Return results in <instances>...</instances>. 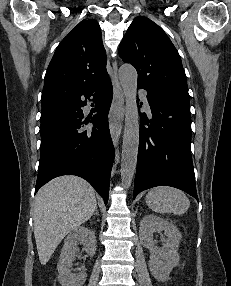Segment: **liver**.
Here are the masks:
<instances>
[{
    "instance_id": "6515ba94",
    "label": "liver",
    "mask_w": 231,
    "mask_h": 286,
    "mask_svg": "<svg viewBox=\"0 0 231 286\" xmlns=\"http://www.w3.org/2000/svg\"><path fill=\"white\" fill-rule=\"evenodd\" d=\"M97 208L93 187L66 175L44 185L33 206L34 235L40 263L45 265L62 239L90 219Z\"/></svg>"
}]
</instances>
